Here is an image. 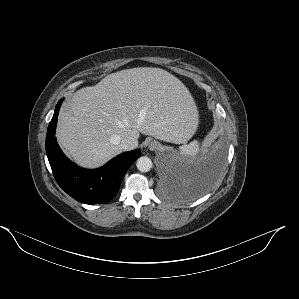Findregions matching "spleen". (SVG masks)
Returning <instances> with one entry per match:
<instances>
[{"label":"spleen","mask_w":299,"mask_h":299,"mask_svg":"<svg viewBox=\"0 0 299 299\" xmlns=\"http://www.w3.org/2000/svg\"><path fill=\"white\" fill-rule=\"evenodd\" d=\"M201 151V146L198 141H193L188 145L179 147V153L186 158H195Z\"/></svg>","instance_id":"obj_1"}]
</instances>
